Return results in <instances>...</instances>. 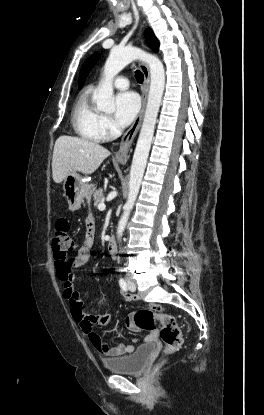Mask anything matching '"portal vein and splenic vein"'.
<instances>
[{
    "instance_id": "1",
    "label": "portal vein and splenic vein",
    "mask_w": 264,
    "mask_h": 415,
    "mask_svg": "<svg viewBox=\"0 0 264 415\" xmlns=\"http://www.w3.org/2000/svg\"><path fill=\"white\" fill-rule=\"evenodd\" d=\"M105 208H106V205L104 204V202H102V203H100V204L98 205V209H99L100 211L105 210Z\"/></svg>"
}]
</instances>
